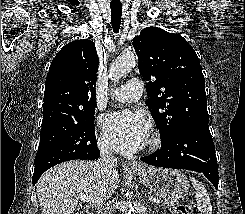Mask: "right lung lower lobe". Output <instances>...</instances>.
I'll return each mask as SVG.
<instances>
[{
	"label": "right lung lower lobe",
	"mask_w": 245,
	"mask_h": 214,
	"mask_svg": "<svg viewBox=\"0 0 245 214\" xmlns=\"http://www.w3.org/2000/svg\"><path fill=\"white\" fill-rule=\"evenodd\" d=\"M89 154H90L91 158L88 159V160H95V159L99 158L100 152H99V149L97 148V145L94 146V147L89 151ZM45 171H46V170H43V171H34L33 178H32V183H33V185L36 184V182L38 181V179L40 178V176H41Z\"/></svg>",
	"instance_id": "obj_1"
}]
</instances>
